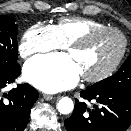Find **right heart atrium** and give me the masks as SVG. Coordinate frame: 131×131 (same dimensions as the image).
Wrapping results in <instances>:
<instances>
[{"instance_id":"d8ad5b80","label":"right heart atrium","mask_w":131,"mask_h":131,"mask_svg":"<svg viewBox=\"0 0 131 131\" xmlns=\"http://www.w3.org/2000/svg\"><path fill=\"white\" fill-rule=\"evenodd\" d=\"M53 26L36 23L23 34L18 50L23 58L62 48Z\"/></svg>"}]
</instances>
